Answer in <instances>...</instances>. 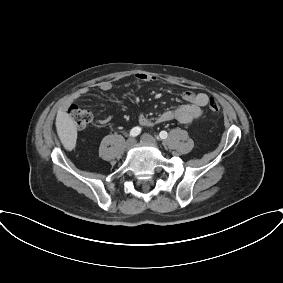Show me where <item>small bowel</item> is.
I'll return each instance as SVG.
<instances>
[{
	"label": "small bowel",
	"instance_id": "obj_1",
	"mask_svg": "<svg viewBox=\"0 0 283 283\" xmlns=\"http://www.w3.org/2000/svg\"><path fill=\"white\" fill-rule=\"evenodd\" d=\"M136 79L141 83H150L156 81V77L150 74L139 73L136 75ZM98 89L101 92H108L112 89V84L108 81H103L99 83ZM89 94L88 88H81L75 98L79 99ZM182 98L186 102L185 104L179 106L176 109L166 110L162 112L156 119L157 123H164L172 120H176L180 123L187 124L197 119L202 114V109L207 105L209 97L206 93H195L192 91H184L182 93ZM112 117L110 115L103 118H99L96 122L99 125H106L111 121ZM139 123L144 127H152L154 122L141 114L139 116Z\"/></svg>",
	"mask_w": 283,
	"mask_h": 283
}]
</instances>
